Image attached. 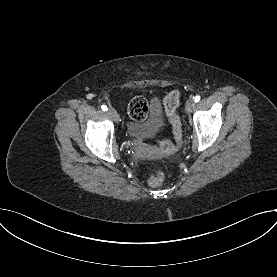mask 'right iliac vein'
<instances>
[{"label": "right iliac vein", "mask_w": 277, "mask_h": 277, "mask_svg": "<svg viewBox=\"0 0 277 277\" xmlns=\"http://www.w3.org/2000/svg\"><path fill=\"white\" fill-rule=\"evenodd\" d=\"M108 114L114 121H116V122L119 121L118 113L116 112V110L114 108H109Z\"/></svg>", "instance_id": "63e3f726"}]
</instances>
